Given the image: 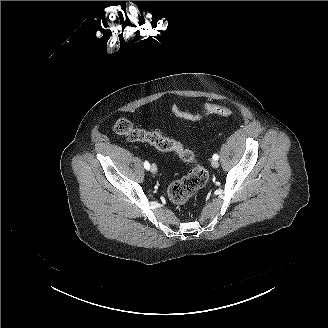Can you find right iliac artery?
I'll use <instances>...</instances> for the list:
<instances>
[{
  "instance_id": "right-iliac-artery-1",
  "label": "right iliac artery",
  "mask_w": 328,
  "mask_h": 328,
  "mask_svg": "<svg viewBox=\"0 0 328 328\" xmlns=\"http://www.w3.org/2000/svg\"><path fill=\"white\" fill-rule=\"evenodd\" d=\"M144 168L147 170L150 169V164L147 161H145V163H144Z\"/></svg>"
}]
</instances>
